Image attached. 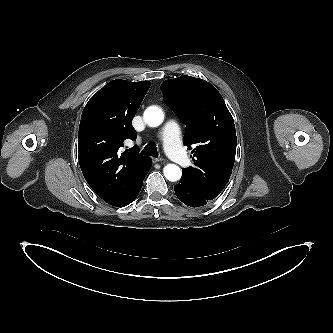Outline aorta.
I'll list each match as a JSON object with an SVG mask.
<instances>
[{
  "label": "aorta",
  "mask_w": 333,
  "mask_h": 333,
  "mask_svg": "<svg viewBox=\"0 0 333 333\" xmlns=\"http://www.w3.org/2000/svg\"><path fill=\"white\" fill-rule=\"evenodd\" d=\"M146 123L151 127H157L163 122V112L158 107H149L144 113ZM181 170L175 164H168L164 167V176L169 181H177L181 178Z\"/></svg>",
  "instance_id": "762f6f07"
}]
</instances>
